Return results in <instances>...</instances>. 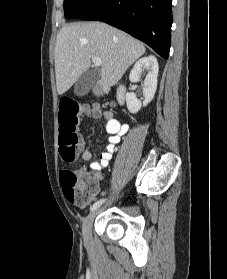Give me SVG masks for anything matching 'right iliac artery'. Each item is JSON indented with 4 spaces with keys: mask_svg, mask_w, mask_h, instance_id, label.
Returning a JSON list of instances; mask_svg holds the SVG:
<instances>
[{
    "mask_svg": "<svg viewBox=\"0 0 227 279\" xmlns=\"http://www.w3.org/2000/svg\"><path fill=\"white\" fill-rule=\"evenodd\" d=\"M105 202V199H100L97 202H95L91 207L90 210L93 211L95 209H97L100 205H102V203Z\"/></svg>",
    "mask_w": 227,
    "mask_h": 279,
    "instance_id": "obj_1",
    "label": "right iliac artery"
}]
</instances>
